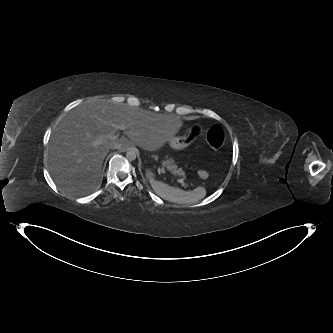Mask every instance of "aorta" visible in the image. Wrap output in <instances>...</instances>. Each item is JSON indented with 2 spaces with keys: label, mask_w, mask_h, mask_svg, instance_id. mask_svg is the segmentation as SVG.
I'll return each mask as SVG.
<instances>
[{
  "label": "aorta",
  "mask_w": 333,
  "mask_h": 333,
  "mask_svg": "<svg viewBox=\"0 0 333 333\" xmlns=\"http://www.w3.org/2000/svg\"><path fill=\"white\" fill-rule=\"evenodd\" d=\"M136 156H137V152L135 149L133 148H129L126 152V158L127 160L129 161H133L136 159Z\"/></svg>",
  "instance_id": "1"
}]
</instances>
